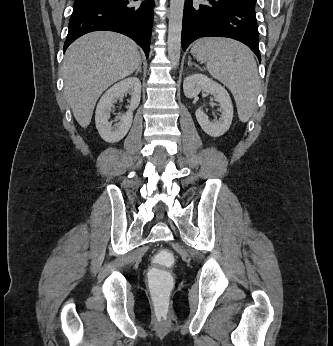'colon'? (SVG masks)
<instances>
[{"instance_id": "5ec220e1", "label": "colon", "mask_w": 333, "mask_h": 346, "mask_svg": "<svg viewBox=\"0 0 333 346\" xmlns=\"http://www.w3.org/2000/svg\"><path fill=\"white\" fill-rule=\"evenodd\" d=\"M170 249L158 252L152 257L153 269H147L150 283L152 310H166L169 307L168 295L176 282L168 271H173L174 261Z\"/></svg>"}]
</instances>
